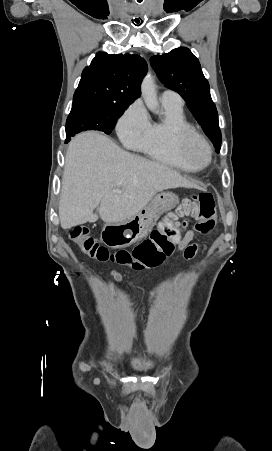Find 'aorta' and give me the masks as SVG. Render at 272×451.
<instances>
[{
  "mask_svg": "<svg viewBox=\"0 0 272 451\" xmlns=\"http://www.w3.org/2000/svg\"><path fill=\"white\" fill-rule=\"evenodd\" d=\"M156 88L154 76H152V74H147L141 84L142 98H144L147 108H149L151 112H154V114L159 110Z\"/></svg>",
  "mask_w": 272,
  "mask_h": 451,
  "instance_id": "1",
  "label": "aorta"
}]
</instances>
